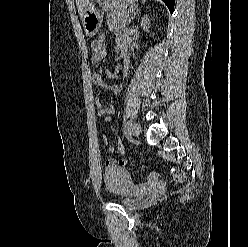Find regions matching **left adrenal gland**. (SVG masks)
<instances>
[{
  "label": "left adrenal gland",
  "instance_id": "1",
  "mask_svg": "<svg viewBox=\"0 0 248 247\" xmlns=\"http://www.w3.org/2000/svg\"><path fill=\"white\" fill-rule=\"evenodd\" d=\"M140 12V9L138 8V5L134 6L131 10V15L129 18V23L138 15Z\"/></svg>",
  "mask_w": 248,
  "mask_h": 247
}]
</instances>
